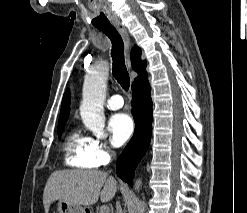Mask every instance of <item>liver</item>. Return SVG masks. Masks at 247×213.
I'll return each mask as SVG.
<instances>
[{"label":"liver","mask_w":247,"mask_h":213,"mask_svg":"<svg viewBox=\"0 0 247 213\" xmlns=\"http://www.w3.org/2000/svg\"><path fill=\"white\" fill-rule=\"evenodd\" d=\"M118 189L116 180L107 172L99 170H62L53 172L47 180L43 193V204L48 212L55 200L90 206L99 197L109 202Z\"/></svg>","instance_id":"liver-1"}]
</instances>
